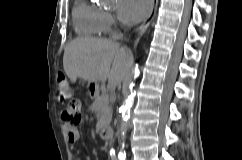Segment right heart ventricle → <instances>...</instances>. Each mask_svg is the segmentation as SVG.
<instances>
[{
    "label": "right heart ventricle",
    "mask_w": 242,
    "mask_h": 160,
    "mask_svg": "<svg viewBox=\"0 0 242 160\" xmlns=\"http://www.w3.org/2000/svg\"><path fill=\"white\" fill-rule=\"evenodd\" d=\"M74 25L81 35L98 37L104 31L102 10L87 0H77L73 9Z\"/></svg>",
    "instance_id": "right-heart-ventricle-1"
}]
</instances>
